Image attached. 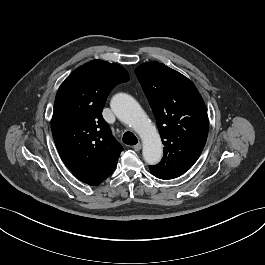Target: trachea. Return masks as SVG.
Here are the masks:
<instances>
[{"mask_svg": "<svg viewBox=\"0 0 265 265\" xmlns=\"http://www.w3.org/2000/svg\"><path fill=\"white\" fill-rule=\"evenodd\" d=\"M123 142L127 145H135L138 140L132 132H125L123 135Z\"/></svg>", "mask_w": 265, "mask_h": 265, "instance_id": "obj_1", "label": "trachea"}]
</instances>
